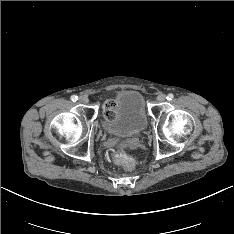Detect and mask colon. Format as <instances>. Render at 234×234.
<instances>
[{
    "label": "colon",
    "instance_id": "colon-1",
    "mask_svg": "<svg viewBox=\"0 0 234 234\" xmlns=\"http://www.w3.org/2000/svg\"><path fill=\"white\" fill-rule=\"evenodd\" d=\"M112 113V104L106 103L104 106V114L105 117H110ZM116 162L122 165L125 169L131 170L133 167L137 166V159L136 158H130L123 152H119L115 156Z\"/></svg>",
    "mask_w": 234,
    "mask_h": 234
}]
</instances>
